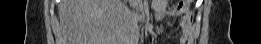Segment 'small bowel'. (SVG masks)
Wrapping results in <instances>:
<instances>
[{"label":"small bowel","mask_w":261,"mask_h":44,"mask_svg":"<svg viewBox=\"0 0 261 44\" xmlns=\"http://www.w3.org/2000/svg\"><path fill=\"white\" fill-rule=\"evenodd\" d=\"M139 10H143L141 5H138ZM151 9L154 12L155 20H162L166 15H178L180 16L179 27L181 35L179 39L180 44L190 43L193 35V23L192 12L188 9V6L179 7L175 6L170 8L168 1L165 0H153L151 2Z\"/></svg>","instance_id":"small-bowel-1"}]
</instances>
